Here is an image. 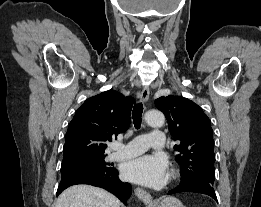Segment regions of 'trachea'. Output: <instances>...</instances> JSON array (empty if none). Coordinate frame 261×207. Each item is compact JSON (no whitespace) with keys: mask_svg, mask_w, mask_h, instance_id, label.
Returning <instances> with one entry per match:
<instances>
[{"mask_svg":"<svg viewBox=\"0 0 261 207\" xmlns=\"http://www.w3.org/2000/svg\"><path fill=\"white\" fill-rule=\"evenodd\" d=\"M142 113H143V104L142 103L135 104L132 111V119L136 129H139L141 126Z\"/></svg>","mask_w":261,"mask_h":207,"instance_id":"obj_1","label":"trachea"}]
</instances>
